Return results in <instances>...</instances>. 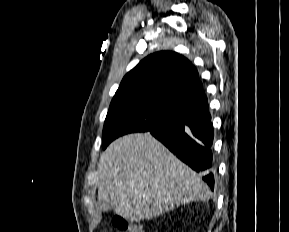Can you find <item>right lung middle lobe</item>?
Masks as SVG:
<instances>
[{
    "label": "right lung middle lobe",
    "mask_w": 289,
    "mask_h": 232,
    "mask_svg": "<svg viewBox=\"0 0 289 232\" xmlns=\"http://www.w3.org/2000/svg\"><path fill=\"white\" fill-rule=\"evenodd\" d=\"M182 112L143 98H113L103 128V149L121 135L149 131L176 119Z\"/></svg>",
    "instance_id": "obj_1"
}]
</instances>
